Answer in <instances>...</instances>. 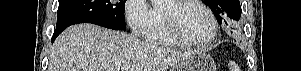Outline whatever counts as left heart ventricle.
I'll use <instances>...</instances> for the list:
<instances>
[{
    "instance_id": "left-heart-ventricle-1",
    "label": "left heart ventricle",
    "mask_w": 301,
    "mask_h": 71,
    "mask_svg": "<svg viewBox=\"0 0 301 71\" xmlns=\"http://www.w3.org/2000/svg\"><path fill=\"white\" fill-rule=\"evenodd\" d=\"M164 7L171 12L189 40L202 42L210 36L212 25L209 17L201 7L194 4L175 7L169 2H166Z\"/></svg>"
}]
</instances>
